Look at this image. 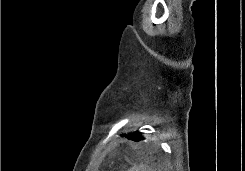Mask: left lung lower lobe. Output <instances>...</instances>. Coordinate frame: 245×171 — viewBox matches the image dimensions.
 <instances>
[{"instance_id": "0a47b994", "label": "left lung lower lobe", "mask_w": 245, "mask_h": 171, "mask_svg": "<svg viewBox=\"0 0 245 171\" xmlns=\"http://www.w3.org/2000/svg\"><path fill=\"white\" fill-rule=\"evenodd\" d=\"M126 136L128 139L132 140V141H140L143 139L142 136L138 135V134H131V135H123Z\"/></svg>"}]
</instances>
